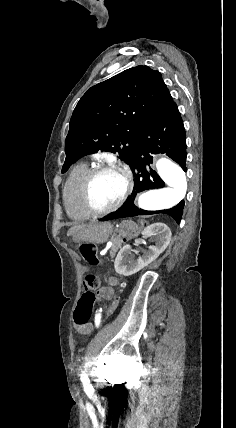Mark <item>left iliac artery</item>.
Masks as SVG:
<instances>
[{"mask_svg": "<svg viewBox=\"0 0 236 428\" xmlns=\"http://www.w3.org/2000/svg\"><path fill=\"white\" fill-rule=\"evenodd\" d=\"M101 311H102V309H100V310L97 312L96 316H95V325H96V327H98V326H99V324H100ZM81 377H87V374H85V372H84V371H82Z\"/></svg>", "mask_w": 236, "mask_h": 428, "instance_id": "1", "label": "left iliac artery"}]
</instances>
